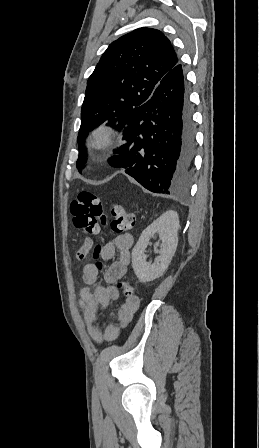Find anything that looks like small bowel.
I'll return each instance as SVG.
<instances>
[{
  "instance_id": "obj_1",
  "label": "small bowel",
  "mask_w": 259,
  "mask_h": 448,
  "mask_svg": "<svg viewBox=\"0 0 259 448\" xmlns=\"http://www.w3.org/2000/svg\"><path fill=\"white\" fill-rule=\"evenodd\" d=\"M133 237L129 233L116 236L104 245L100 252L103 261L111 260L117 254V260L108 266L104 273V281L99 280V268L96 264L89 263L84 266L83 280L86 283L80 292V307L88 326V332L92 340L97 344L111 342L117 339L123 327L132 320L138 308V299L134 297L131 301L121 305L116 312L110 313V323L104 331H101L94 322L101 310L107 309L110 303L119 298V290L115 283L126 273L131 260V247Z\"/></svg>"
}]
</instances>
